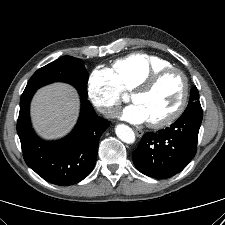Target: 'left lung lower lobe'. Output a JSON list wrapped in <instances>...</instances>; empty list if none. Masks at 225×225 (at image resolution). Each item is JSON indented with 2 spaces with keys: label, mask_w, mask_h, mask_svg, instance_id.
Wrapping results in <instances>:
<instances>
[{
  "label": "left lung lower lobe",
  "mask_w": 225,
  "mask_h": 225,
  "mask_svg": "<svg viewBox=\"0 0 225 225\" xmlns=\"http://www.w3.org/2000/svg\"><path fill=\"white\" fill-rule=\"evenodd\" d=\"M202 122L201 106L186 109L170 127L146 133L133 152V163L143 174L165 179L182 171L195 156Z\"/></svg>",
  "instance_id": "0a47b994"
}]
</instances>
